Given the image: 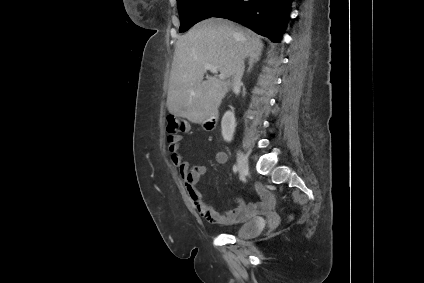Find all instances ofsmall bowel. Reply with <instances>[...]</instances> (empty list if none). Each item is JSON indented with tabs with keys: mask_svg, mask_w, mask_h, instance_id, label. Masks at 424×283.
<instances>
[{
	"mask_svg": "<svg viewBox=\"0 0 424 283\" xmlns=\"http://www.w3.org/2000/svg\"><path fill=\"white\" fill-rule=\"evenodd\" d=\"M183 136L179 134H171L167 137L168 149L171 153L173 163L177 166L179 174L184 182L189 200L199 215L210 224L231 225L240 223L258 210H264L273 204L272 194L262 185L257 184L256 190L261 197L259 203H246L241 198L234 201L236 207L224 213L217 212L203 198L201 192L197 188V184L203 180L206 175L207 168L203 165H193L184 159L180 152ZM216 162L218 164H226L228 162V154L220 151L216 154Z\"/></svg>",
	"mask_w": 424,
	"mask_h": 283,
	"instance_id": "c3829d8e",
	"label": "small bowel"
}]
</instances>
